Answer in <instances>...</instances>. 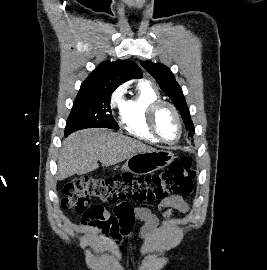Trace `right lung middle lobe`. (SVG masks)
<instances>
[{
  "label": "right lung middle lobe",
  "instance_id": "1",
  "mask_svg": "<svg viewBox=\"0 0 267 270\" xmlns=\"http://www.w3.org/2000/svg\"><path fill=\"white\" fill-rule=\"evenodd\" d=\"M112 88L80 89L65 127V136L84 128L119 129L110 109Z\"/></svg>",
  "mask_w": 267,
  "mask_h": 270
}]
</instances>
